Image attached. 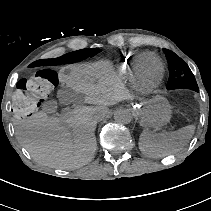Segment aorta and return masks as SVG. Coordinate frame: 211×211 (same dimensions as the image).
<instances>
[{
    "instance_id": "aorta-1",
    "label": "aorta",
    "mask_w": 211,
    "mask_h": 211,
    "mask_svg": "<svg viewBox=\"0 0 211 211\" xmlns=\"http://www.w3.org/2000/svg\"><path fill=\"white\" fill-rule=\"evenodd\" d=\"M132 118V113L127 108H118L114 111V120L119 124H129Z\"/></svg>"
}]
</instances>
